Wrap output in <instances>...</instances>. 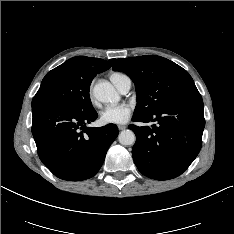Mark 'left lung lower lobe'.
<instances>
[{"instance_id":"obj_1","label":"left lung lower lobe","mask_w":234,"mask_h":234,"mask_svg":"<svg viewBox=\"0 0 234 234\" xmlns=\"http://www.w3.org/2000/svg\"><path fill=\"white\" fill-rule=\"evenodd\" d=\"M132 120L157 122L152 128L128 126L136 135L132 149L135 165L151 179L167 180L181 175L201 149L205 119L199 92Z\"/></svg>"}]
</instances>
